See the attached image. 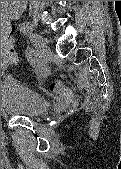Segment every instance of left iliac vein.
Listing matches in <instances>:
<instances>
[{
    "instance_id": "1",
    "label": "left iliac vein",
    "mask_w": 121,
    "mask_h": 169,
    "mask_svg": "<svg viewBox=\"0 0 121 169\" xmlns=\"http://www.w3.org/2000/svg\"><path fill=\"white\" fill-rule=\"evenodd\" d=\"M33 43L40 55L44 58L48 57L50 50L48 46L46 45L44 38L39 34H34L33 37Z\"/></svg>"
}]
</instances>
